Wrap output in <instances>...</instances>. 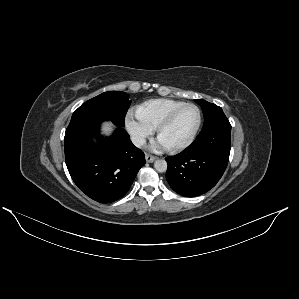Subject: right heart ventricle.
<instances>
[{
	"label": "right heart ventricle",
	"instance_id": "obj_1",
	"mask_svg": "<svg viewBox=\"0 0 299 299\" xmlns=\"http://www.w3.org/2000/svg\"><path fill=\"white\" fill-rule=\"evenodd\" d=\"M182 104L183 101L167 98L150 99L138 106L137 114L151 127L157 128L168 113Z\"/></svg>",
	"mask_w": 299,
	"mask_h": 299
}]
</instances>
